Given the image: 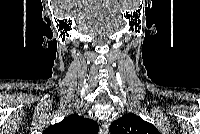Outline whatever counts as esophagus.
Here are the masks:
<instances>
[{
  "label": "esophagus",
  "instance_id": "1",
  "mask_svg": "<svg viewBox=\"0 0 200 134\" xmlns=\"http://www.w3.org/2000/svg\"><path fill=\"white\" fill-rule=\"evenodd\" d=\"M108 131H109V125L107 122H103L101 127H100V131L99 133L100 134H108Z\"/></svg>",
  "mask_w": 200,
  "mask_h": 134
}]
</instances>
